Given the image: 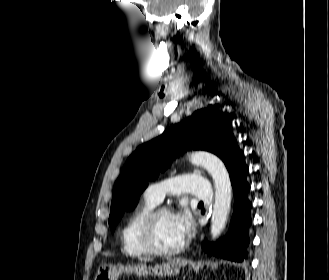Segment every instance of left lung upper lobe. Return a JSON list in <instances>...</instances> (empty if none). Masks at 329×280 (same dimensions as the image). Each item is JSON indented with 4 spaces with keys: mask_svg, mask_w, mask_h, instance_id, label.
Returning <instances> with one entry per match:
<instances>
[{
    "mask_svg": "<svg viewBox=\"0 0 329 280\" xmlns=\"http://www.w3.org/2000/svg\"><path fill=\"white\" fill-rule=\"evenodd\" d=\"M191 148L216 154L229 173L239 166L243 154L233 136L232 124L224 114L210 108L195 111L158 138L138 147L128 158L113 189L109 216L112 231L124 211L137 206L147 180L155 179L159 171L170 165L171 153L177 155Z\"/></svg>",
    "mask_w": 329,
    "mask_h": 280,
    "instance_id": "5c2ea615",
    "label": "left lung upper lobe"
}]
</instances>
